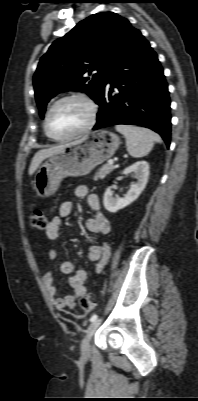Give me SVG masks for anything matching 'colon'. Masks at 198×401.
I'll use <instances>...</instances> for the list:
<instances>
[{"mask_svg": "<svg viewBox=\"0 0 198 401\" xmlns=\"http://www.w3.org/2000/svg\"><path fill=\"white\" fill-rule=\"evenodd\" d=\"M30 225L36 229H45L47 227V218L41 209H34L29 217ZM80 305L85 314H88L94 307L91 294L83 296Z\"/></svg>", "mask_w": 198, "mask_h": 401, "instance_id": "colon-1", "label": "colon"}]
</instances>
